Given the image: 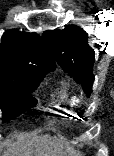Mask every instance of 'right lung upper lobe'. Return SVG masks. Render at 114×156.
<instances>
[{"label":"right lung upper lobe","mask_w":114,"mask_h":156,"mask_svg":"<svg viewBox=\"0 0 114 156\" xmlns=\"http://www.w3.org/2000/svg\"><path fill=\"white\" fill-rule=\"evenodd\" d=\"M56 64L36 33L7 30L0 45V77L46 75Z\"/></svg>","instance_id":"1"}]
</instances>
